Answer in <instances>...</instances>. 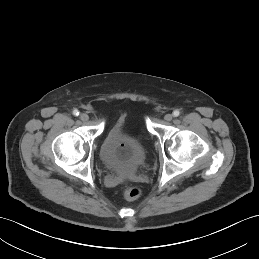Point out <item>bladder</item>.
I'll list each match as a JSON object with an SVG mask.
<instances>
[{
	"label": "bladder",
	"instance_id": "obj_1",
	"mask_svg": "<svg viewBox=\"0 0 259 259\" xmlns=\"http://www.w3.org/2000/svg\"><path fill=\"white\" fill-rule=\"evenodd\" d=\"M124 124L125 119L120 117L111 125L102 140L99 155L107 169L129 177L143 166L145 150L125 132Z\"/></svg>",
	"mask_w": 259,
	"mask_h": 259
}]
</instances>
